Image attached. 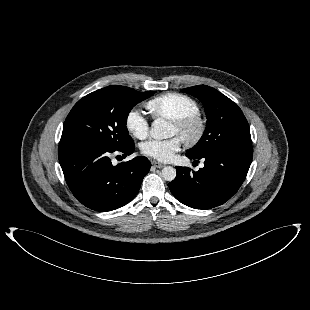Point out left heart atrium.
Instances as JSON below:
<instances>
[{
	"instance_id": "39dd6f15",
	"label": "left heart atrium",
	"mask_w": 310,
	"mask_h": 310,
	"mask_svg": "<svg viewBox=\"0 0 310 310\" xmlns=\"http://www.w3.org/2000/svg\"><path fill=\"white\" fill-rule=\"evenodd\" d=\"M181 148V139L173 137L164 140L152 139L142 144L143 154L162 162L171 161Z\"/></svg>"
}]
</instances>
